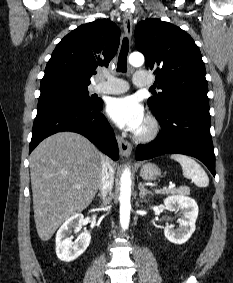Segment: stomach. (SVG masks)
Listing matches in <instances>:
<instances>
[{"label": "stomach", "mask_w": 233, "mask_h": 283, "mask_svg": "<svg viewBox=\"0 0 233 283\" xmlns=\"http://www.w3.org/2000/svg\"><path fill=\"white\" fill-rule=\"evenodd\" d=\"M161 175L159 167L153 163H146L140 170V176L147 181L156 180Z\"/></svg>", "instance_id": "obj_1"}]
</instances>
